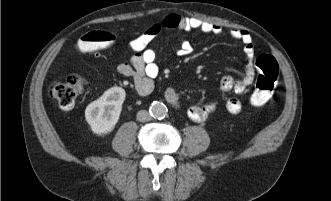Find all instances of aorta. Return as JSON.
Listing matches in <instances>:
<instances>
[{
    "instance_id": "obj_1",
    "label": "aorta",
    "mask_w": 331,
    "mask_h": 201,
    "mask_svg": "<svg viewBox=\"0 0 331 201\" xmlns=\"http://www.w3.org/2000/svg\"><path fill=\"white\" fill-rule=\"evenodd\" d=\"M167 107L162 102H153L150 107L151 115L157 119H163L167 115Z\"/></svg>"
}]
</instances>
